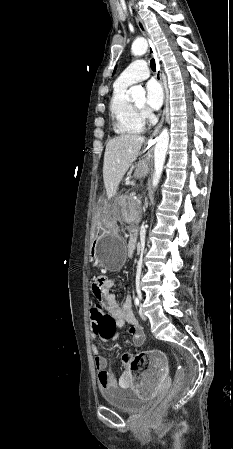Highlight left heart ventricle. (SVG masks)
Instances as JSON below:
<instances>
[{
    "label": "left heart ventricle",
    "instance_id": "b2bd125f",
    "mask_svg": "<svg viewBox=\"0 0 233 449\" xmlns=\"http://www.w3.org/2000/svg\"><path fill=\"white\" fill-rule=\"evenodd\" d=\"M134 103H135L137 106H139V107H144V105H145V99L142 98V99L136 100Z\"/></svg>",
    "mask_w": 233,
    "mask_h": 449
}]
</instances>
